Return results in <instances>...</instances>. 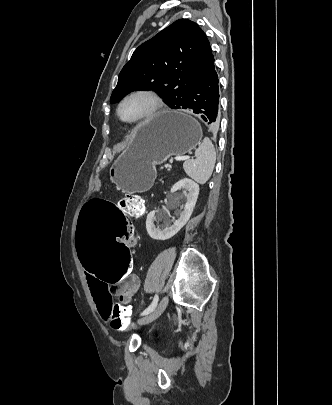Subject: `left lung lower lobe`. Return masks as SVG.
<instances>
[{
	"label": "left lung lower lobe",
	"mask_w": 332,
	"mask_h": 405,
	"mask_svg": "<svg viewBox=\"0 0 332 405\" xmlns=\"http://www.w3.org/2000/svg\"><path fill=\"white\" fill-rule=\"evenodd\" d=\"M219 97V80L211 53L195 74L181 108L191 110L212 128L217 129L220 122Z\"/></svg>",
	"instance_id": "0a47b994"
}]
</instances>
